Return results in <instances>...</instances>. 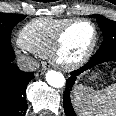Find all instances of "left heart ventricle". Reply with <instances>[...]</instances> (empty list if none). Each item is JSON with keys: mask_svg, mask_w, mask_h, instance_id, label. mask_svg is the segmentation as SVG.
<instances>
[{"mask_svg": "<svg viewBox=\"0 0 116 116\" xmlns=\"http://www.w3.org/2000/svg\"><path fill=\"white\" fill-rule=\"evenodd\" d=\"M93 30L87 23H78L66 33L63 41L61 58L65 62H73L80 58L89 46Z\"/></svg>", "mask_w": 116, "mask_h": 116, "instance_id": "obj_1", "label": "left heart ventricle"}]
</instances>
